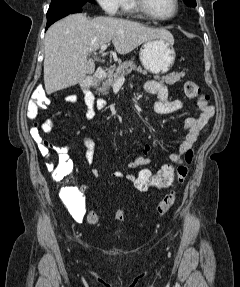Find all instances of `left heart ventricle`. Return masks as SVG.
<instances>
[{"mask_svg":"<svg viewBox=\"0 0 240 287\" xmlns=\"http://www.w3.org/2000/svg\"><path fill=\"white\" fill-rule=\"evenodd\" d=\"M151 11L157 16H168L174 10L173 0H147Z\"/></svg>","mask_w":240,"mask_h":287,"instance_id":"b2bd125f","label":"left heart ventricle"}]
</instances>
